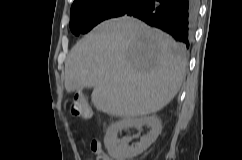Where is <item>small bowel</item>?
<instances>
[{
	"label": "small bowel",
	"instance_id": "1",
	"mask_svg": "<svg viewBox=\"0 0 242 160\" xmlns=\"http://www.w3.org/2000/svg\"><path fill=\"white\" fill-rule=\"evenodd\" d=\"M92 149L102 157V160H112L108 155H106L103 150L102 147L100 146V144L98 143H93L92 144Z\"/></svg>",
	"mask_w": 242,
	"mask_h": 160
}]
</instances>
